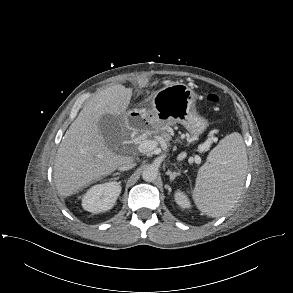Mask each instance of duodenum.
Returning <instances> with one entry per match:
<instances>
[{
	"label": "duodenum",
	"mask_w": 293,
	"mask_h": 293,
	"mask_svg": "<svg viewBox=\"0 0 293 293\" xmlns=\"http://www.w3.org/2000/svg\"><path fill=\"white\" fill-rule=\"evenodd\" d=\"M140 120H141V119L139 118L138 121H140ZM127 121H128L129 123H131V116H128V117H127Z\"/></svg>",
	"instance_id": "1"
}]
</instances>
